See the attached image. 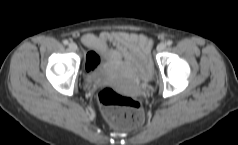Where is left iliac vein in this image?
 <instances>
[{
  "label": "left iliac vein",
  "instance_id": "left-iliac-vein-1",
  "mask_svg": "<svg viewBox=\"0 0 238 145\" xmlns=\"http://www.w3.org/2000/svg\"><path fill=\"white\" fill-rule=\"evenodd\" d=\"M166 49V44L164 42L160 43L158 46H157V51L158 52H162Z\"/></svg>",
  "mask_w": 238,
  "mask_h": 145
}]
</instances>
